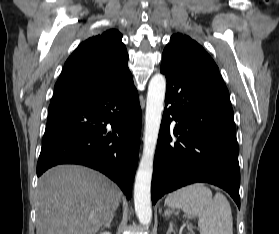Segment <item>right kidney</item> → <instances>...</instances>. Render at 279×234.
<instances>
[{
    "mask_svg": "<svg viewBox=\"0 0 279 234\" xmlns=\"http://www.w3.org/2000/svg\"><path fill=\"white\" fill-rule=\"evenodd\" d=\"M100 234H111V233L108 232V231H104V232H102V233H100Z\"/></svg>",
    "mask_w": 279,
    "mask_h": 234,
    "instance_id": "1",
    "label": "right kidney"
}]
</instances>
